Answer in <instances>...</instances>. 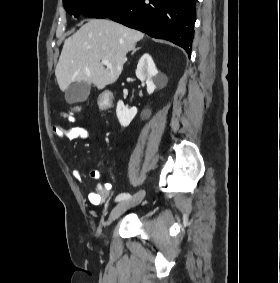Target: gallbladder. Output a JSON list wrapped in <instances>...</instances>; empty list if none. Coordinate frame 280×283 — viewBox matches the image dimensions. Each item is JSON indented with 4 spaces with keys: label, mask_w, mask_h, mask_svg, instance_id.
<instances>
[{
    "label": "gallbladder",
    "mask_w": 280,
    "mask_h": 283,
    "mask_svg": "<svg viewBox=\"0 0 280 283\" xmlns=\"http://www.w3.org/2000/svg\"><path fill=\"white\" fill-rule=\"evenodd\" d=\"M91 90V84L87 82L72 83L65 91V99L69 104L84 102Z\"/></svg>",
    "instance_id": "bac80fb5"
}]
</instances>
